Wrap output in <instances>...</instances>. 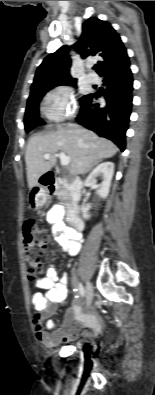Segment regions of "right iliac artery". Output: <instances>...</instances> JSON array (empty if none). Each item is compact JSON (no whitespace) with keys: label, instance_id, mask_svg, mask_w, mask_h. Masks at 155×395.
Instances as JSON below:
<instances>
[{"label":"right iliac artery","instance_id":"right-iliac-artery-1","mask_svg":"<svg viewBox=\"0 0 155 395\" xmlns=\"http://www.w3.org/2000/svg\"><path fill=\"white\" fill-rule=\"evenodd\" d=\"M78 289H79L80 295L84 296L85 295V289H84V287H83V285L81 283L79 284Z\"/></svg>","mask_w":155,"mask_h":395}]
</instances>
